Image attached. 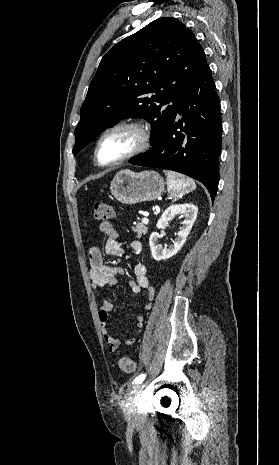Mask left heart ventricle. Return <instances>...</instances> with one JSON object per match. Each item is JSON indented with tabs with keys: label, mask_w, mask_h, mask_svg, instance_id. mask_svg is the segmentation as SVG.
<instances>
[{
	"label": "left heart ventricle",
	"mask_w": 279,
	"mask_h": 465,
	"mask_svg": "<svg viewBox=\"0 0 279 465\" xmlns=\"http://www.w3.org/2000/svg\"><path fill=\"white\" fill-rule=\"evenodd\" d=\"M139 143V134L132 129H120L108 134L101 142L99 159L112 162L132 151Z\"/></svg>",
	"instance_id": "obj_1"
}]
</instances>
